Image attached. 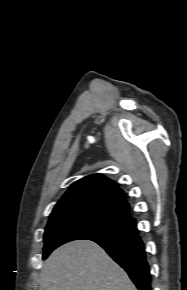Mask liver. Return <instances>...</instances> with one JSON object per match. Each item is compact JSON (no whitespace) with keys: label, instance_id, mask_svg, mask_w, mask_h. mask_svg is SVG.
Segmentation results:
<instances>
[{"label":"liver","instance_id":"1","mask_svg":"<svg viewBox=\"0 0 187 290\" xmlns=\"http://www.w3.org/2000/svg\"><path fill=\"white\" fill-rule=\"evenodd\" d=\"M39 290H137L127 273L98 244L66 243L46 260Z\"/></svg>","mask_w":187,"mask_h":290}]
</instances>
